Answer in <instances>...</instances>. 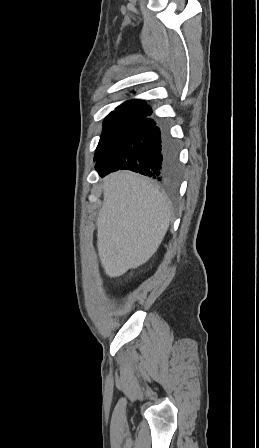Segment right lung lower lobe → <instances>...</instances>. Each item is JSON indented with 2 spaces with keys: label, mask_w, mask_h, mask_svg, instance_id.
Segmentation results:
<instances>
[{
  "label": "right lung lower lobe",
  "mask_w": 259,
  "mask_h": 448,
  "mask_svg": "<svg viewBox=\"0 0 259 448\" xmlns=\"http://www.w3.org/2000/svg\"><path fill=\"white\" fill-rule=\"evenodd\" d=\"M150 116V115H147ZM147 116L132 123L97 159L101 176L127 169L165 183L179 175L178 146Z\"/></svg>",
  "instance_id": "98d812e1"
}]
</instances>
